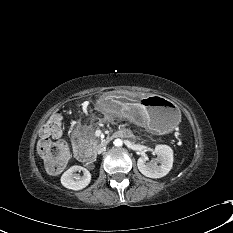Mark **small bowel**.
I'll list each match as a JSON object with an SVG mask.
<instances>
[{
	"instance_id": "1",
	"label": "small bowel",
	"mask_w": 233,
	"mask_h": 233,
	"mask_svg": "<svg viewBox=\"0 0 233 233\" xmlns=\"http://www.w3.org/2000/svg\"><path fill=\"white\" fill-rule=\"evenodd\" d=\"M61 135H62V133L60 132L59 134H57V135L53 136V138L58 139V138H60V137H61Z\"/></svg>"
}]
</instances>
